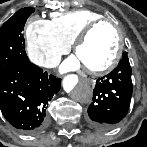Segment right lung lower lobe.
<instances>
[{"label": "right lung lower lobe", "mask_w": 147, "mask_h": 147, "mask_svg": "<svg viewBox=\"0 0 147 147\" xmlns=\"http://www.w3.org/2000/svg\"><path fill=\"white\" fill-rule=\"evenodd\" d=\"M61 79L43 72L31 62L0 75V109L6 120L25 133L47 126V104L60 90Z\"/></svg>", "instance_id": "obj_1"}]
</instances>
